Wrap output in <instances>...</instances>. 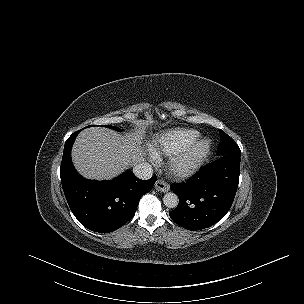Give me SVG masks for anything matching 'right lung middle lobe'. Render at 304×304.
<instances>
[{
  "instance_id": "right-lung-middle-lobe-1",
  "label": "right lung middle lobe",
  "mask_w": 304,
  "mask_h": 304,
  "mask_svg": "<svg viewBox=\"0 0 304 304\" xmlns=\"http://www.w3.org/2000/svg\"><path fill=\"white\" fill-rule=\"evenodd\" d=\"M88 127H90V126H88ZM108 128H111V129H114V130H116V131H119V129L117 128V127H115V126H107Z\"/></svg>"
}]
</instances>
